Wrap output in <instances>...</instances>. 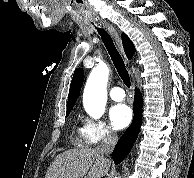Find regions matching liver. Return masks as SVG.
I'll use <instances>...</instances> for the list:
<instances>
[{"instance_id":"6515ba94","label":"liver","mask_w":194,"mask_h":178,"mask_svg":"<svg viewBox=\"0 0 194 178\" xmlns=\"http://www.w3.org/2000/svg\"><path fill=\"white\" fill-rule=\"evenodd\" d=\"M110 161L103 159L96 149L67 150L56 156L45 178H101L110 168Z\"/></svg>"}]
</instances>
